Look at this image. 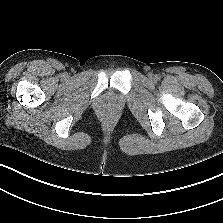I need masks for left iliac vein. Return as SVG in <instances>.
Listing matches in <instances>:
<instances>
[{"label":"left iliac vein","mask_w":223,"mask_h":223,"mask_svg":"<svg viewBox=\"0 0 223 223\" xmlns=\"http://www.w3.org/2000/svg\"><path fill=\"white\" fill-rule=\"evenodd\" d=\"M150 78H151V79H154V77H153V75H152V74L150 75Z\"/></svg>","instance_id":"obj_1"}]
</instances>
